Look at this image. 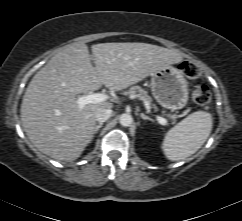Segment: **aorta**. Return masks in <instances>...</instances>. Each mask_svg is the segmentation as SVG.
I'll return each instance as SVG.
<instances>
[{
  "label": "aorta",
  "instance_id": "1",
  "mask_svg": "<svg viewBox=\"0 0 242 221\" xmlns=\"http://www.w3.org/2000/svg\"><path fill=\"white\" fill-rule=\"evenodd\" d=\"M119 122L122 126L128 127L133 123V118L130 114L124 113L119 117Z\"/></svg>",
  "mask_w": 242,
  "mask_h": 221
}]
</instances>
